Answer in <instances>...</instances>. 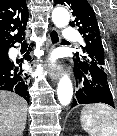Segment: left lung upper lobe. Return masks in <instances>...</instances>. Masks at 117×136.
Here are the masks:
<instances>
[{
    "label": "left lung upper lobe",
    "mask_w": 117,
    "mask_h": 136,
    "mask_svg": "<svg viewBox=\"0 0 117 136\" xmlns=\"http://www.w3.org/2000/svg\"><path fill=\"white\" fill-rule=\"evenodd\" d=\"M56 4L69 6L73 12L75 20L70 22L72 26H78V31L83 35L85 45L82 46L83 56L76 57L83 60L94 61L98 66L104 69L105 54L101 41L100 30L93 8L87 0H55Z\"/></svg>",
    "instance_id": "1"
}]
</instances>
